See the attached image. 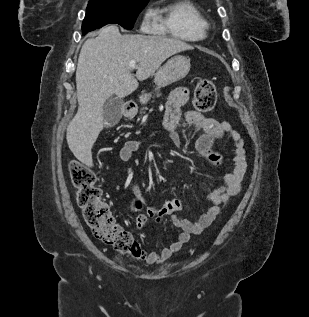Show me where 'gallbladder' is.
I'll list each match as a JSON object with an SVG mask.
<instances>
[{
  "label": "gallbladder",
  "mask_w": 309,
  "mask_h": 317,
  "mask_svg": "<svg viewBox=\"0 0 309 317\" xmlns=\"http://www.w3.org/2000/svg\"><path fill=\"white\" fill-rule=\"evenodd\" d=\"M123 100L119 97L107 99L103 106V120L106 127L115 126L122 118Z\"/></svg>",
  "instance_id": "1"
}]
</instances>
